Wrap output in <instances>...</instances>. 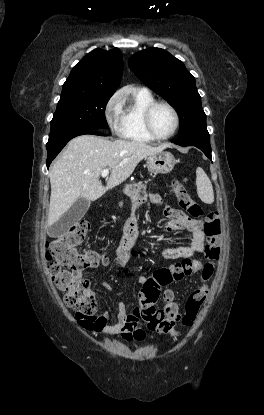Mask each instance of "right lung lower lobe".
Wrapping results in <instances>:
<instances>
[{
    "mask_svg": "<svg viewBox=\"0 0 264 415\" xmlns=\"http://www.w3.org/2000/svg\"><path fill=\"white\" fill-rule=\"evenodd\" d=\"M84 134H92V135H100V136H104L105 134L94 131V130H85L76 134L71 135L70 137H67L59 142H57L56 144L47 147V151H48V155H47V167L49 168V165L51 164V162L53 161V159L58 155V153L64 148V146L67 144L68 141H70L72 138L79 136V135H84Z\"/></svg>",
    "mask_w": 264,
    "mask_h": 415,
    "instance_id": "98d812e1",
    "label": "right lung lower lobe"
}]
</instances>
